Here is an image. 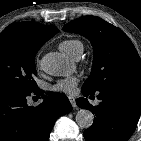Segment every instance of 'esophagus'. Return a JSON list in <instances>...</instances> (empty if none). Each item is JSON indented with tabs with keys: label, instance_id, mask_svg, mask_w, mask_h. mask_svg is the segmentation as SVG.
<instances>
[{
	"label": "esophagus",
	"instance_id": "esophagus-1",
	"mask_svg": "<svg viewBox=\"0 0 141 141\" xmlns=\"http://www.w3.org/2000/svg\"><path fill=\"white\" fill-rule=\"evenodd\" d=\"M69 101H70L72 107H73V108H76L77 105H76L75 98H74V97H69Z\"/></svg>",
	"mask_w": 141,
	"mask_h": 141
}]
</instances>
